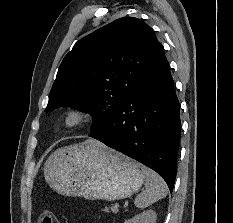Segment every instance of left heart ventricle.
<instances>
[{"label": "left heart ventricle", "instance_id": "b2bd125f", "mask_svg": "<svg viewBox=\"0 0 233 223\" xmlns=\"http://www.w3.org/2000/svg\"><path fill=\"white\" fill-rule=\"evenodd\" d=\"M78 123L76 116H69L62 122V127H72Z\"/></svg>", "mask_w": 233, "mask_h": 223}]
</instances>
